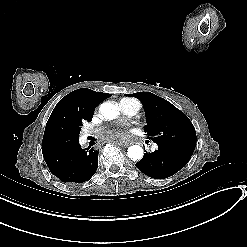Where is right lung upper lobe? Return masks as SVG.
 I'll return each instance as SVG.
<instances>
[{
    "label": "right lung upper lobe",
    "mask_w": 247,
    "mask_h": 247,
    "mask_svg": "<svg viewBox=\"0 0 247 247\" xmlns=\"http://www.w3.org/2000/svg\"><path fill=\"white\" fill-rule=\"evenodd\" d=\"M109 96L111 95L108 93L80 88L63 97L47 121L42 150L44 151L54 138L79 130L84 120L92 119L95 107Z\"/></svg>",
    "instance_id": "cb5924a9"
}]
</instances>
